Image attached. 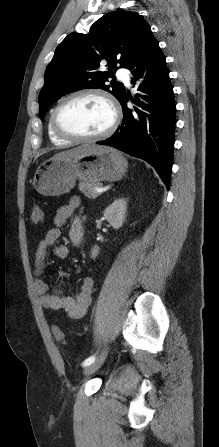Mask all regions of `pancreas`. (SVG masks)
I'll use <instances>...</instances> for the list:
<instances>
[{
  "mask_svg": "<svg viewBox=\"0 0 219 447\" xmlns=\"http://www.w3.org/2000/svg\"><path fill=\"white\" fill-rule=\"evenodd\" d=\"M102 184L97 183H90V182H80L79 183V190L88 198H96L99 196V193H97L94 188L101 187Z\"/></svg>",
  "mask_w": 219,
  "mask_h": 447,
  "instance_id": "pancreas-1",
  "label": "pancreas"
}]
</instances>
